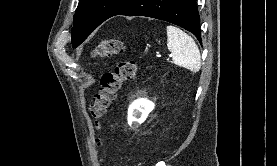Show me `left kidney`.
<instances>
[{"label": "left kidney", "instance_id": "obj_1", "mask_svg": "<svg viewBox=\"0 0 277 166\" xmlns=\"http://www.w3.org/2000/svg\"><path fill=\"white\" fill-rule=\"evenodd\" d=\"M154 103L146 98H139L132 102L128 108V124L136 127L143 123L149 113L154 109Z\"/></svg>", "mask_w": 277, "mask_h": 166}]
</instances>
